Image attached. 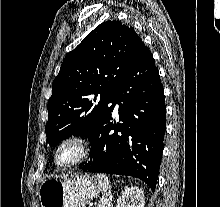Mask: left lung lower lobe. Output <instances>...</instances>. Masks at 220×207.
Masks as SVG:
<instances>
[{
    "label": "left lung lower lobe",
    "instance_id": "left-lung-lower-lobe-1",
    "mask_svg": "<svg viewBox=\"0 0 220 207\" xmlns=\"http://www.w3.org/2000/svg\"><path fill=\"white\" fill-rule=\"evenodd\" d=\"M119 103V121L110 122ZM166 106L158 69L142 42L111 97L105 116L91 137V158L81 169L129 175L154 192L163 152Z\"/></svg>",
    "mask_w": 220,
    "mask_h": 207
}]
</instances>
